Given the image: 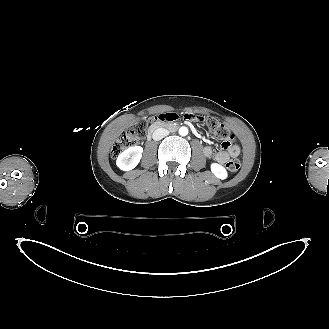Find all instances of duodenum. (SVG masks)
Masks as SVG:
<instances>
[{"instance_id":"obj_1","label":"duodenum","mask_w":329,"mask_h":329,"mask_svg":"<svg viewBox=\"0 0 329 329\" xmlns=\"http://www.w3.org/2000/svg\"><path fill=\"white\" fill-rule=\"evenodd\" d=\"M160 127H166L172 130H175L177 126L175 124H172L170 122H167L166 120L164 122H161L158 118H153L150 124V127L146 134V140H150L152 137V134Z\"/></svg>"}]
</instances>
